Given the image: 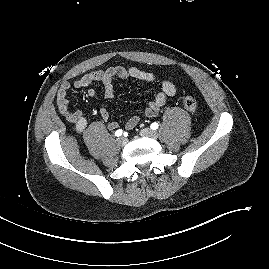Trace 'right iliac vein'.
<instances>
[{
    "label": "right iliac vein",
    "mask_w": 269,
    "mask_h": 269,
    "mask_svg": "<svg viewBox=\"0 0 269 269\" xmlns=\"http://www.w3.org/2000/svg\"><path fill=\"white\" fill-rule=\"evenodd\" d=\"M117 142H118V144L124 146V145L127 144V139L124 138V137H120V138L117 139Z\"/></svg>",
    "instance_id": "1"
}]
</instances>
